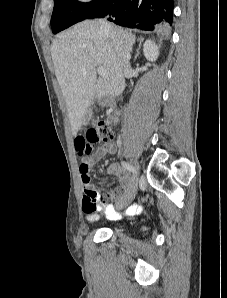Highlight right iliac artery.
I'll list each match as a JSON object with an SVG mask.
<instances>
[{
	"instance_id": "obj_1",
	"label": "right iliac artery",
	"mask_w": 227,
	"mask_h": 298,
	"mask_svg": "<svg viewBox=\"0 0 227 298\" xmlns=\"http://www.w3.org/2000/svg\"><path fill=\"white\" fill-rule=\"evenodd\" d=\"M121 164H122V166H123L126 170H128L129 172H131V173H133V174H136V169H135V167L132 166L131 164H129V163L125 162V161H123Z\"/></svg>"
}]
</instances>
